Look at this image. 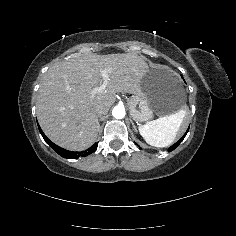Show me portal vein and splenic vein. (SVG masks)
<instances>
[{
  "label": "portal vein and splenic vein",
  "instance_id": "portal-vein-and-splenic-vein-1",
  "mask_svg": "<svg viewBox=\"0 0 236 236\" xmlns=\"http://www.w3.org/2000/svg\"><path fill=\"white\" fill-rule=\"evenodd\" d=\"M112 71L109 70V69H105V70H101L100 72V76L103 78V79H108V76L109 74L111 73ZM105 90V87L104 85H100L98 87H95L93 89H91V95H96L98 93H101Z\"/></svg>",
  "mask_w": 236,
  "mask_h": 236
}]
</instances>
